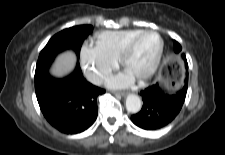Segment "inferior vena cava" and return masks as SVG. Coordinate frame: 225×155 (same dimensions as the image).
Wrapping results in <instances>:
<instances>
[{
	"mask_svg": "<svg viewBox=\"0 0 225 155\" xmlns=\"http://www.w3.org/2000/svg\"><path fill=\"white\" fill-rule=\"evenodd\" d=\"M106 77L107 76H105V75L98 74V75H95L91 81L93 84L101 85Z\"/></svg>",
	"mask_w": 225,
	"mask_h": 155,
	"instance_id": "obj_1",
	"label": "inferior vena cava"
}]
</instances>
